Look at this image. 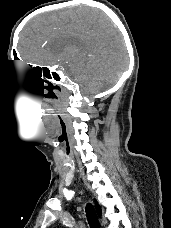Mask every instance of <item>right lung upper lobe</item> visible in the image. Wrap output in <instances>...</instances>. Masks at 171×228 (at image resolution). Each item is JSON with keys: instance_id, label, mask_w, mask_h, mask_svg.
I'll return each mask as SVG.
<instances>
[{"instance_id": "right-lung-upper-lobe-1", "label": "right lung upper lobe", "mask_w": 171, "mask_h": 228, "mask_svg": "<svg viewBox=\"0 0 171 228\" xmlns=\"http://www.w3.org/2000/svg\"><path fill=\"white\" fill-rule=\"evenodd\" d=\"M95 207H96L97 214L101 216V207L99 206L96 200H95Z\"/></svg>"}]
</instances>
